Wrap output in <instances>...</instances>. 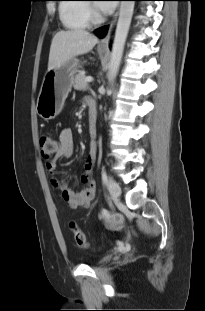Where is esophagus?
Wrapping results in <instances>:
<instances>
[{"label": "esophagus", "instance_id": "1", "mask_svg": "<svg viewBox=\"0 0 205 311\" xmlns=\"http://www.w3.org/2000/svg\"><path fill=\"white\" fill-rule=\"evenodd\" d=\"M118 15H119V10L116 11L111 22L109 23V31H108L107 35L101 40V42H100L101 47H107L108 46L109 41H110L111 36H112L113 29H114L115 24H116V20L118 18Z\"/></svg>", "mask_w": 205, "mask_h": 311}]
</instances>
